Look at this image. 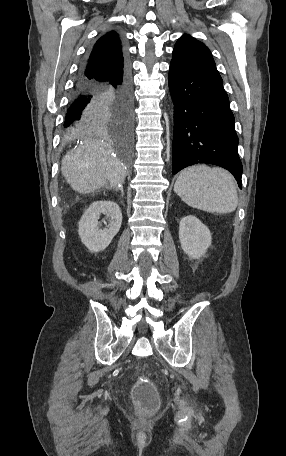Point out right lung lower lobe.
I'll use <instances>...</instances> for the list:
<instances>
[{
	"label": "right lung lower lobe",
	"instance_id": "right-lung-lower-lobe-1",
	"mask_svg": "<svg viewBox=\"0 0 286 456\" xmlns=\"http://www.w3.org/2000/svg\"><path fill=\"white\" fill-rule=\"evenodd\" d=\"M132 92L128 71L104 81L79 71L63 123V135L107 128L128 141L132 133Z\"/></svg>",
	"mask_w": 286,
	"mask_h": 456
}]
</instances>
